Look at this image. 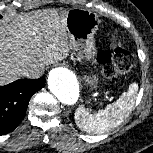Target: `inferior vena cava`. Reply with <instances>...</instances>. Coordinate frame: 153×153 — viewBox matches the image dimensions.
I'll use <instances>...</instances> for the list:
<instances>
[{"instance_id":"inferior-vena-cava-1","label":"inferior vena cava","mask_w":153,"mask_h":153,"mask_svg":"<svg viewBox=\"0 0 153 153\" xmlns=\"http://www.w3.org/2000/svg\"><path fill=\"white\" fill-rule=\"evenodd\" d=\"M45 69V64L38 63V64H29L24 70H23V76L31 79H38L40 78Z\"/></svg>"}]
</instances>
